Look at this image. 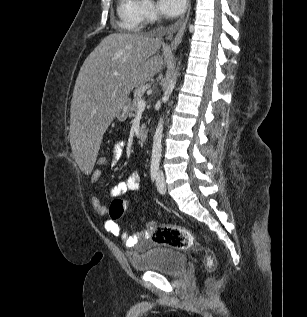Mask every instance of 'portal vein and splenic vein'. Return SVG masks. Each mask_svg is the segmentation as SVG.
Wrapping results in <instances>:
<instances>
[{"label": "portal vein and splenic vein", "instance_id": "portal-vein-and-splenic-vein-1", "mask_svg": "<svg viewBox=\"0 0 307 317\" xmlns=\"http://www.w3.org/2000/svg\"><path fill=\"white\" fill-rule=\"evenodd\" d=\"M145 107H146V102L145 100H140L138 101V104H137V111L138 112H142L145 110Z\"/></svg>", "mask_w": 307, "mask_h": 317}]
</instances>
